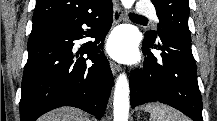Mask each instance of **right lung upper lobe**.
Returning a JSON list of instances; mask_svg holds the SVG:
<instances>
[{
    "label": "right lung upper lobe",
    "mask_w": 217,
    "mask_h": 121,
    "mask_svg": "<svg viewBox=\"0 0 217 121\" xmlns=\"http://www.w3.org/2000/svg\"><path fill=\"white\" fill-rule=\"evenodd\" d=\"M108 0H37L33 23L74 20L90 13Z\"/></svg>",
    "instance_id": "1"
}]
</instances>
